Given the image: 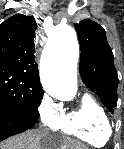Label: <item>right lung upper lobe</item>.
I'll return each mask as SVG.
<instances>
[{"instance_id":"obj_1","label":"right lung upper lobe","mask_w":124,"mask_h":149,"mask_svg":"<svg viewBox=\"0 0 124 149\" xmlns=\"http://www.w3.org/2000/svg\"><path fill=\"white\" fill-rule=\"evenodd\" d=\"M36 21L16 14L0 25V68L19 72L41 87L34 37Z\"/></svg>"}]
</instances>
